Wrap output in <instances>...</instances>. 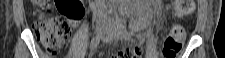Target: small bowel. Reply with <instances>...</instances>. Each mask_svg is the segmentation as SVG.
<instances>
[{"label": "small bowel", "instance_id": "1", "mask_svg": "<svg viewBox=\"0 0 225 58\" xmlns=\"http://www.w3.org/2000/svg\"><path fill=\"white\" fill-rule=\"evenodd\" d=\"M71 25H72L73 27H75V26L77 25V20H72V21H71Z\"/></svg>", "mask_w": 225, "mask_h": 58}]
</instances>
